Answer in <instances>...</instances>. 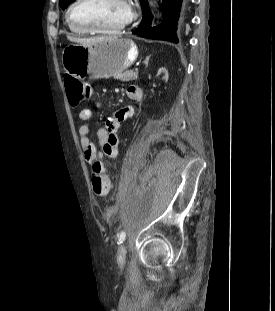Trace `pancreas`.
I'll list each match as a JSON object with an SVG mask.
<instances>
[{
	"label": "pancreas",
	"mask_w": 275,
	"mask_h": 311,
	"mask_svg": "<svg viewBox=\"0 0 275 311\" xmlns=\"http://www.w3.org/2000/svg\"><path fill=\"white\" fill-rule=\"evenodd\" d=\"M138 73L128 70L118 74L115 78L120 79L123 82H129L137 79Z\"/></svg>",
	"instance_id": "cf45deb5"
}]
</instances>
